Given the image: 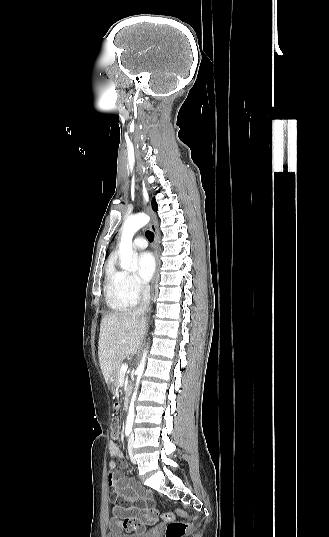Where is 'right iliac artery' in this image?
Returning <instances> with one entry per match:
<instances>
[{"mask_svg": "<svg viewBox=\"0 0 329 537\" xmlns=\"http://www.w3.org/2000/svg\"><path fill=\"white\" fill-rule=\"evenodd\" d=\"M130 433H131V429L126 428L125 435L128 437L130 435Z\"/></svg>", "mask_w": 329, "mask_h": 537, "instance_id": "82829eb1", "label": "right iliac artery"}]
</instances>
